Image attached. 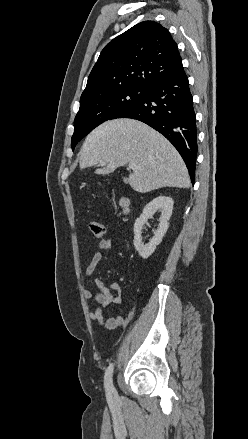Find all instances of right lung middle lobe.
<instances>
[{
  "label": "right lung middle lobe",
  "mask_w": 248,
  "mask_h": 439,
  "mask_svg": "<svg viewBox=\"0 0 248 439\" xmlns=\"http://www.w3.org/2000/svg\"><path fill=\"white\" fill-rule=\"evenodd\" d=\"M147 89L126 87L80 104L74 120V134L71 139L72 150L76 144L101 123L119 118L133 107Z\"/></svg>",
  "instance_id": "1"
}]
</instances>
